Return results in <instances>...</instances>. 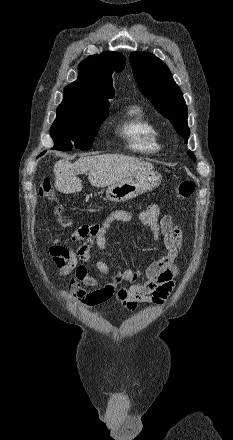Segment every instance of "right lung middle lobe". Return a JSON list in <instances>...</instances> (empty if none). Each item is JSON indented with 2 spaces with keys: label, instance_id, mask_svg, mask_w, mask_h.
<instances>
[{
  "label": "right lung middle lobe",
  "instance_id": "right-lung-middle-lobe-1",
  "mask_svg": "<svg viewBox=\"0 0 233 440\" xmlns=\"http://www.w3.org/2000/svg\"><path fill=\"white\" fill-rule=\"evenodd\" d=\"M108 106L63 105L57 108L50 134L54 148L71 150L72 144L81 150L92 146L101 123L108 116Z\"/></svg>",
  "mask_w": 233,
  "mask_h": 440
}]
</instances>
